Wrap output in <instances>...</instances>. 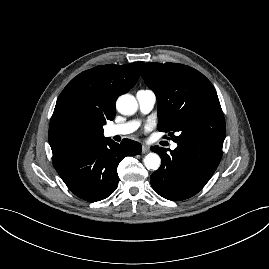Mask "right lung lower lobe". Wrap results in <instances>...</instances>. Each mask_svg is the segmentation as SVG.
I'll return each instance as SVG.
<instances>
[{"instance_id": "right-lung-lower-lobe-1", "label": "right lung lower lobe", "mask_w": 269, "mask_h": 269, "mask_svg": "<svg viewBox=\"0 0 269 269\" xmlns=\"http://www.w3.org/2000/svg\"><path fill=\"white\" fill-rule=\"evenodd\" d=\"M141 151V145L136 141L124 139L118 144L110 138H101L54 156L53 165L73 194L85 201L96 202L116 190L119 162Z\"/></svg>"}]
</instances>
